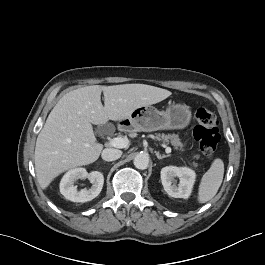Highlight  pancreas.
Segmentation results:
<instances>
[{"label":"pancreas","instance_id":"cf45deb5","mask_svg":"<svg viewBox=\"0 0 265 265\" xmlns=\"http://www.w3.org/2000/svg\"><path fill=\"white\" fill-rule=\"evenodd\" d=\"M155 138L158 140V141H162L163 143H165V144H168V143H171V145L174 147V149H179V150H184L183 149V144H182V142H181V140H180V138H179V136L178 135H176V134H168V135H166V134H157L156 136H155ZM193 158H195V159H198L199 158V155H194V157ZM192 166L193 167H197L198 166V163H196V162H192Z\"/></svg>","mask_w":265,"mask_h":265}]
</instances>
